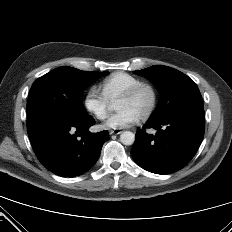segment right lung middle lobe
I'll return each mask as SVG.
<instances>
[{
  "mask_svg": "<svg viewBox=\"0 0 232 232\" xmlns=\"http://www.w3.org/2000/svg\"><path fill=\"white\" fill-rule=\"evenodd\" d=\"M105 72L81 71L72 67H59L36 79L27 102V114L51 111L72 116H84L82 105L84 90Z\"/></svg>",
  "mask_w": 232,
  "mask_h": 232,
  "instance_id": "obj_1",
  "label": "right lung middle lobe"
}]
</instances>
